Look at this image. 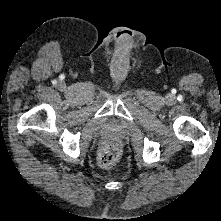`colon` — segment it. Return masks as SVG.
Wrapping results in <instances>:
<instances>
[{"instance_id":"5ec220e1","label":"colon","mask_w":221,"mask_h":221,"mask_svg":"<svg viewBox=\"0 0 221 221\" xmlns=\"http://www.w3.org/2000/svg\"><path fill=\"white\" fill-rule=\"evenodd\" d=\"M120 157V147L111 143L102 148L98 157V163L102 168L112 167Z\"/></svg>"}]
</instances>
